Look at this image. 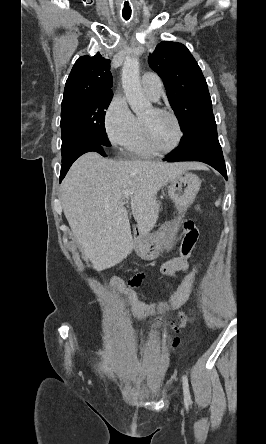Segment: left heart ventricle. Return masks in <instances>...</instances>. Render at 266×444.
Instances as JSON below:
<instances>
[{
    "label": "left heart ventricle",
    "mask_w": 266,
    "mask_h": 444,
    "mask_svg": "<svg viewBox=\"0 0 266 444\" xmlns=\"http://www.w3.org/2000/svg\"><path fill=\"white\" fill-rule=\"evenodd\" d=\"M142 120L148 125L154 143L161 149L171 148L177 140V127L174 120L151 109Z\"/></svg>",
    "instance_id": "b2bd125f"
}]
</instances>
